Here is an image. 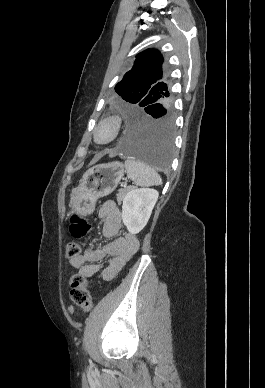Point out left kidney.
<instances>
[{
    "mask_svg": "<svg viewBox=\"0 0 265 388\" xmlns=\"http://www.w3.org/2000/svg\"><path fill=\"white\" fill-rule=\"evenodd\" d=\"M157 190L132 188L122 206V220L130 234H139L145 228L157 202Z\"/></svg>",
    "mask_w": 265,
    "mask_h": 388,
    "instance_id": "left-kidney-1",
    "label": "left kidney"
}]
</instances>
